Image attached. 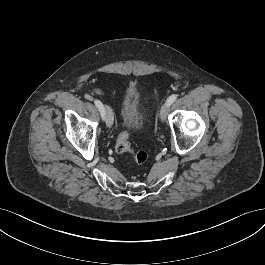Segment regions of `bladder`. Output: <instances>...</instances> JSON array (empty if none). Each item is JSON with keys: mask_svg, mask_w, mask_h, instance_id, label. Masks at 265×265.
Masks as SVG:
<instances>
[{"mask_svg": "<svg viewBox=\"0 0 265 265\" xmlns=\"http://www.w3.org/2000/svg\"><path fill=\"white\" fill-rule=\"evenodd\" d=\"M121 116L124 124L131 130L139 129L144 123V115L140 110L139 91L136 87H129L125 91Z\"/></svg>", "mask_w": 265, "mask_h": 265, "instance_id": "31cf9c89", "label": "bladder"}]
</instances>
